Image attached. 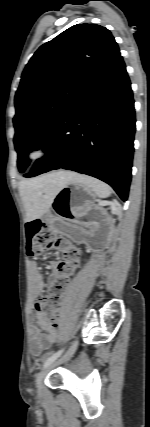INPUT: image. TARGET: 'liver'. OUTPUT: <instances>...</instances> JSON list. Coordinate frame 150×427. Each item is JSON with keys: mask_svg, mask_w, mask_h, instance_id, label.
I'll use <instances>...</instances> for the list:
<instances>
[{"mask_svg": "<svg viewBox=\"0 0 150 427\" xmlns=\"http://www.w3.org/2000/svg\"><path fill=\"white\" fill-rule=\"evenodd\" d=\"M76 176V173L60 170L22 180L19 183V191L26 210V220L43 216L51 207L59 190Z\"/></svg>", "mask_w": 150, "mask_h": 427, "instance_id": "obj_1", "label": "liver"}]
</instances>
